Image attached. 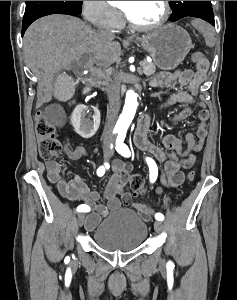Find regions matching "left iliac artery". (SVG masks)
Listing matches in <instances>:
<instances>
[{"label": "left iliac artery", "mask_w": 237, "mask_h": 300, "mask_svg": "<svg viewBox=\"0 0 237 300\" xmlns=\"http://www.w3.org/2000/svg\"><path fill=\"white\" fill-rule=\"evenodd\" d=\"M125 136H126V133H119L118 134L115 149L122 156L130 157L131 152H130L128 146L123 143L124 139H125ZM146 161H147V164L149 166V171H150V182L153 183L157 179L158 168H157V165H156L155 161L152 158L147 157ZM155 219L158 220V221H163L164 220V215L161 214V213H156L155 214ZM167 267H174V264L171 261H169L167 263Z\"/></svg>", "instance_id": "1"}]
</instances>
